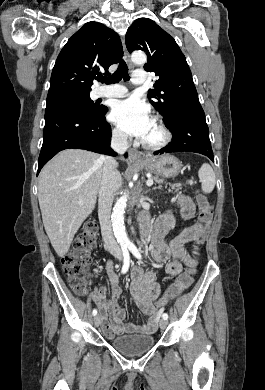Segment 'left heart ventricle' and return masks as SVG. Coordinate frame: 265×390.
Wrapping results in <instances>:
<instances>
[{
	"mask_svg": "<svg viewBox=\"0 0 265 390\" xmlns=\"http://www.w3.org/2000/svg\"><path fill=\"white\" fill-rule=\"evenodd\" d=\"M159 137H160L159 131H158L156 125L153 123L151 130L149 131V133L146 136V138L144 139V141L155 142L159 139Z\"/></svg>",
	"mask_w": 265,
	"mask_h": 390,
	"instance_id": "left-heart-ventricle-1",
	"label": "left heart ventricle"
}]
</instances>
